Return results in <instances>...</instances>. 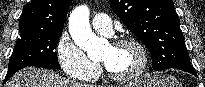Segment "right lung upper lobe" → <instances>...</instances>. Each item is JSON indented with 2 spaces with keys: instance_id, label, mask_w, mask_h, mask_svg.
Returning a JSON list of instances; mask_svg holds the SVG:
<instances>
[{
  "instance_id": "right-lung-upper-lobe-1",
  "label": "right lung upper lobe",
  "mask_w": 205,
  "mask_h": 87,
  "mask_svg": "<svg viewBox=\"0 0 205 87\" xmlns=\"http://www.w3.org/2000/svg\"><path fill=\"white\" fill-rule=\"evenodd\" d=\"M72 0H31L20 16L19 31H62Z\"/></svg>"
}]
</instances>
